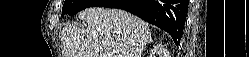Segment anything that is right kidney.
<instances>
[{"label": "right kidney", "mask_w": 249, "mask_h": 57, "mask_svg": "<svg viewBox=\"0 0 249 57\" xmlns=\"http://www.w3.org/2000/svg\"><path fill=\"white\" fill-rule=\"evenodd\" d=\"M160 48H161V51H163L164 53H167V50L163 46H161Z\"/></svg>", "instance_id": "right-kidney-1"}]
</instances>
